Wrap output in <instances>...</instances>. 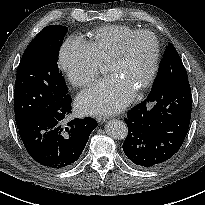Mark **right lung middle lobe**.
<instances>
[{
  "instance_id": "obj_1",
  "label": "right lung middle lobe",
  "mask_w": 205,
  "mask_h": 205,
  "mask_svg": "<svg viewBox=\"0 0 205 205\" xmlns=\"http://www.w3.org/2000/svg\"><path fill=\"white\" fill-rule=\"evenodd\" d=\"M68 28L45 27L28 45L21 58L14 90L17 128L54 103L69 97L57 58Z\"/></svg>"
}]
</instances>
